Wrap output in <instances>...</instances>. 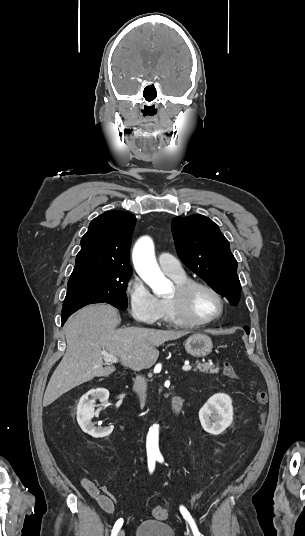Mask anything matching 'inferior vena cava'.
Wrapping results in <instances>:
<instances>
[{
    "label": "inferior vena cava",
    "mask_w": 305,
    "mask_h": 536,
    "mask_svg": "<svg viewBox=\"0 0 305 536\" xmlns=\"http://www.w3.org/2000/svg\"><path fill=\"white\" fill-rule=\"evenodd\" d=\"M134 390L136 394H138L141 404H145L147 392V384L145 378H142V376H137Z\"/></svg>",
    "instance_id": "inferior-vena-cava-1"
}]
</instances>
